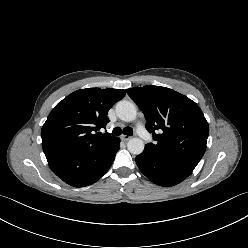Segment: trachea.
Returning <instances> with one entry per match:
<instances>
[{
  "label": "trachea",
  "mask_w": 248,
  "mask_h": 248,
  "mask_svg": "<svg viewBox=\"0 0 248 248\" xmlns=\"http://www.w3.org/2000/svg\"><path fill=\"white\" fill-rule=\"evenodd\" d=\"M122 134V130L120 127H115L113 130H112V135L114 136H119ZM123 134L125 135H128V136H131L133 134V130L129 127H125L123 129Z\"/></svg>",
  "instance_id": "1"
}]
</instances>
